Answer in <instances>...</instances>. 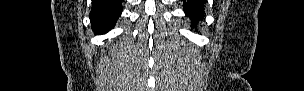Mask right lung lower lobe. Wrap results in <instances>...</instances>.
I'll use <instances>...</instances> for the list:
<instances>
[{
  "label": "right lung lower lobe",
  "instance_id": "right-lung-lower-lobe-1",
  "mask_svg": "<svg viewBox=\"0 0 304 91\" xmlns=\"http://www.w3.org/2000/svg\"><path fill=\"white\" fill-rule=\"evenodd\" d=\"M122 0H92L90 21L96 34L112 29L122 13Z\"/></svg>",
  "mask_w": 304,
  "mask_h": 91
}]
</instances>
